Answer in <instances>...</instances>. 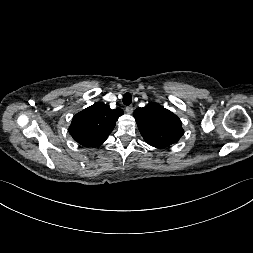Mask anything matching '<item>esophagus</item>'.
<instances>
[{"label":"esophagus","mask_w":253,"mask_h":253,"mask_svg":"<svg viewBox=\"0 0 253 253\" xmlns=\"http://www.w3.org/2000/svg\"><path fill=\"white\" fill-rule=\"evenodd\" d=\"M125 110L128 114H131L133 112L134 108H133V106H127Z\"/></svg>","instance_id":"esophagus-1"}]
</instances>
